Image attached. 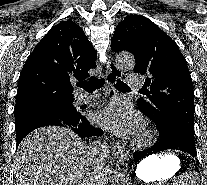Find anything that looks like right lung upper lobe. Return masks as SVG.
<instances>
[{"instance_id": "obj_1", "label": "right lung upper lobe", "mask_w": 207, "mask_h": 185, "mask_svg": "<svg viewBox=\"0 0 207 185\" xmlns=\"http://www.w3.org/2000/svg\"><path fill=\"white\" fill-rule=\"evenodd\" d=\"M95 58L96 51L75 22L53 26L22 68L15 111L73 102V85L89 78Z\"/></svg>"}]
</instances>
